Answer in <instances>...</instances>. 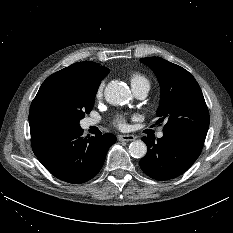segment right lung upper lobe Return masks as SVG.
Segmentation results:
<instances>
[{"label":"right lung upper lobe","instance_id":"cb5924a9","mask_svg":"<svg viewBox=\"0 0 233 233\" xmlns=\"http://www.w3.org/2000/svg\"><path fill=\"white\" fill-rule=\"evenodd\" d=\"M109 73V69L106 67H102L99 64L91 61H85V62H78L73 65H70L69 67H66L56 73L55 75L59 74H65L70 75L74 77H84L88 80L99 83L101 80ZM53 74V75H54ZM42 86V85H41ZM41 88V87H40ZM40 89L33 100L30 112H29V124H30V131L46 128L47 126L43 123V121L40 119L36 109H35V102L39 95Z\"/></svg>","mask_w":233,"mask_h":233}]
</instances>
